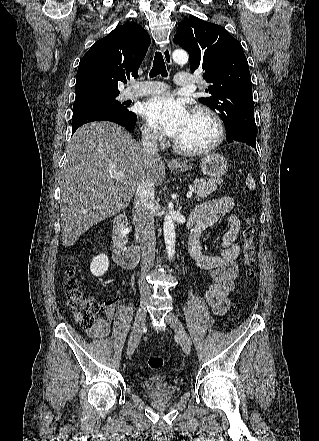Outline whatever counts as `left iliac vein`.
<instances>
[{"label": "left iliac vein", "instance_id": "1", "mask_svg": "<svg viewBox=\"0 0 319 441\" xmlns=\"http://www.w3.org/2000/svg\"><path fill=\"white\" fill-rule=\"evenodd\" d=\"M165 321L170 325L175 334L178 336L183 351L187 355H189L191 353V342L181 321L172 312H169L166 315Z\"/></svg>", "mask_w": 319, "mask_h": 441}]
</instances>
